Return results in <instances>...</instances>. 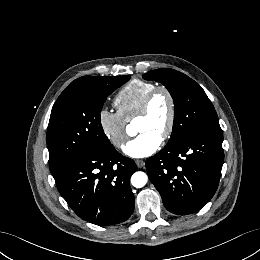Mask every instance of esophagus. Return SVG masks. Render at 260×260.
Returning <instances> with one entry per match:
<instances>
[{
    "mask_svg": "<svg viewBox=\"0 0 260 260\" xmlns=\"http://www.w3.org/2000/svg\"><path fill=\"white\" fill-rule=\"evenodd\" d=\"M135 162L138 168H142L145 165V162L141 159H137Z\"/></svg>",
    "mask_w": 260,
    "mask_h": 260,
    "instance_id": "1",
    "label": "esophagus"
}]
</instances>
